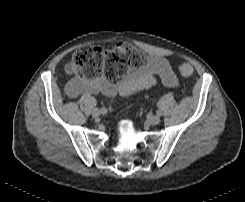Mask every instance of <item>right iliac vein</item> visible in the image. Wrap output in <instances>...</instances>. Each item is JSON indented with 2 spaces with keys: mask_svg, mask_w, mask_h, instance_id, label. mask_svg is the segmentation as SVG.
Instances as JSON below:
<instances>
[{
  "mask_svg": "<svg viewBox=\"0 0 245 202\" xmlns=\"http://www.w3.org/2000/svg\"><path fill=\"white\" fill-rule=\"evenodd\" d=\"M104 112L102 111V109H98V108H95L93 111H92V116L94 118H97L100 116V114H103Z\"/></svg>",
  "mask_w": 245,
  "mask_h": 202,
  "instance_id": "1",
  "label": "right iliac vein"
}]
</instances>
